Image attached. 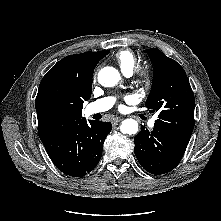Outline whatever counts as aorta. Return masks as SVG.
Listing matches in <instances>:
<instances>
[{"mask_svg": "<svg viewBox=\"0 0 221 221\" xmlns=\"http://www.w3.org/2000/svg\"><path fill=\"white\" fill-rule=\"evenodd\" d=\"M121 77L113 67H104L98 73V81L104 87H113L118 84ZM120 130L123 134L134 135L138 132L139 126L134 119H125L120 125Z\"/></svg>", "mask_w": 221, "mask_h": 221, "instance_id": "obj_1", "label": "aorta"}]
</instances>
